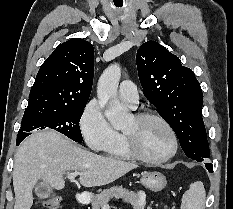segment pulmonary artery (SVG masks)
<instances>
[{
	"mask_svg": "<svg viewBox=\"0 0 233 209\" xmlns=\"http://www.w3.org/2000/svg\"><path fill=\"white\" fill-rule=\"evenodd\" d=\"M119 98L131 105L135 106L138 103V91L136 85L130 80H124L121 82L118 91Z\"/></svg>",
	"mask_w": 233,
	"mask_h": 209,
	"instance_id": "obj_1",
	"label": "pulmonary artery"
}]
</instances>
